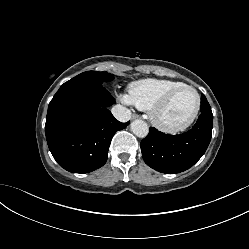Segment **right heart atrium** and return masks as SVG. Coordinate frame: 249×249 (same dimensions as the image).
Masks as SVG:
<instances>
[{
	"label": "right heart atrium",
	"instance_id": "1",
	"mask_svg": "<svg viewBox=\"0 0 249 249\" xmlns=\"http://www.w3.org/2000/svg\"><path fill=\"white\" fill-rule=\"evenodd\" d=\"M121 99H122V101H124V102H126V103H130L129 97L126 96V95H122V96H121Z\"/></svg>",
	"mask_w": 249,
	"mask_h": 249
}]
</instances>
